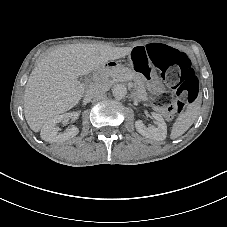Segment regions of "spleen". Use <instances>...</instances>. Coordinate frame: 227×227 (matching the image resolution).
I'll return each instance as SVG.
<instances>
[{
    "mask_svg": "<svg viewBox=\"0 0 227 227\" xmlns=\"http://www.w3.org/2000/svg\"><path fill=\"white\" fill-rule=\"evenodd\" d=\"M199 107L188 109L184 113H181L175 123L173 124L170 138L176 139L179 136L183 135L194 123L198 116Z\"/></svg>",
    "mask_w": 227,
    "mask_h": 227,
    "instance_id": "obj_1",
    "label": "spleen"
}]
</instances>
